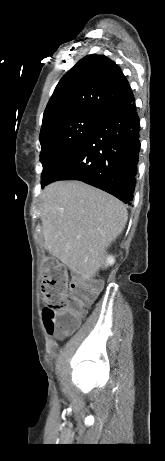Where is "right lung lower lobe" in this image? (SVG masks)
Listing matches in <instances>:
<instances>
[{
    "mask_svg": "<svg viewBox=\"0 0 165 461\" xmlns=\"http://www.w3.org/2000/svg\"><path fill=\"white\" fill-rule=\"evenodd\" d=\"M139 131L133 101L104 117L45 185L57 180H80L130 205L141 145Z\"/></svg>",
    "mask_w": 165,
    "mask_h": 461,
    "instance_id": "obj_1",
    "label": "right lung lower lobe"
}]
</instances>
